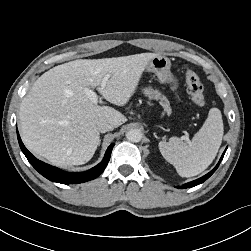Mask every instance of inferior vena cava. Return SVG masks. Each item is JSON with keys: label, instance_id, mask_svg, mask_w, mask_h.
Instances as JSON below:
<instances>
[{"label": "inferior vena cava", "instance_id": "obj_1", "mask_svg": "<svg viewBox=\"0 0 251 251\" xmlns=\"http://www.w3.org/2000/svg\"><path fill=\"white\" fill-rule=\"evenodd\" d=\"M97 128L101 133L113 130L115 128L114 124L106 119H99L97 121Z\"/></svg>", "mask_w": 251, "mask_h": 251}]
</instances>
